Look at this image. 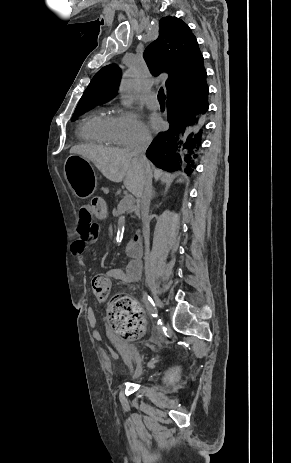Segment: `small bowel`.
<instances>
[{
    "label": "small bowel",
    "mask_w": 291,
    "mask_h": 463,
    "mask_svg": "<svg viewBox=\"0 0 291 463\" xmlns=\"http://www.w3.org/2000/svg\"><path fill=\"white\" fill-rule=\"evenodd\" d=\"M95 210L92 206H81L78 213L77 237L71 244V251L80 261L85 264L84 253L88 246L93 243L99 234V226L93 222ZM101 217V216H99ZM141 261L133 259L125 269L113 268L106 272V275L114 280L133 283L139 280L141 276ZM90 327L93 331L97 329L96 320L90 321Z\"/></svg>",
    "instance_id": "c3829d8e"
}]
</instances>
